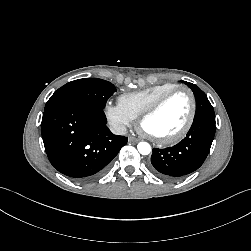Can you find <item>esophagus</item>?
<instances>
[{
    "label": "esophagus",
    "instance_id": "obj_1",
    "mask_svg": "<svg viewBox=\"0 0 251 251\" xmlns=\"http://www.w3.org/2000/svg\"><path fill=\"white\" fill-rule=\"evenodd\" d=\"M128 141H129V142H131V143H137V142H139V139H138V138H135V137L130 136V137L128 138Z\"/></svg>",
    "mask_w": 251,
    "mask_h": 251
}]
</instances>
